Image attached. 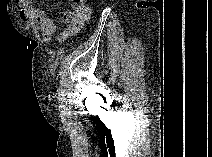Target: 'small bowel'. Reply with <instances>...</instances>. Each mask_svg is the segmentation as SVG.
<instances>
[{
    "mask_svg": "<svg viewBox=\"0 0 212 157\" xmlns=\"http://www.w3.org/2000/svg\"><path fill=\"white\" fill-rule=\"evenodd\" d=\"M18 6L20 19L24 23L38 25L46 43L51 41L59 22L67 24V28L61 33L63 39L76 32L90 16V11L85 5L65 11L58 19L50 17L45 10L30 5L26 0H19Z\"/></svg>",
    "mask_w": 212,
    "mask_h": 157,
    "instance_id": "c3829d8e",
    "label": "small bowel"
}]
</instances>
